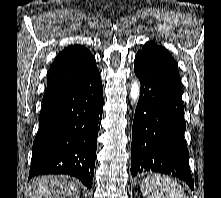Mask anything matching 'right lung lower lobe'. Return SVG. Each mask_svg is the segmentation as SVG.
<instances>
[{
    "label": "right lung lower lobe",
    "mask_w": 221,
    "mask_h": 198,
    "mask_svg": "<svg viewBox=\"0 0 221 198\" xmlns=\"http://www.w3.org/2000/svg\"><path fill=\"white\" fill-rule=\"evenodd\" d=\"M102 112L103 87L98 70L73 88L44 100L29 178L69 174L90 189Z\"/></svg>",
    "instance_id": "1"
}]
</instances>
